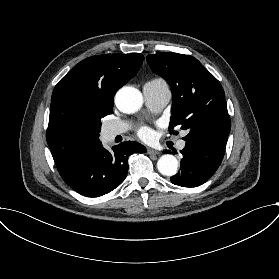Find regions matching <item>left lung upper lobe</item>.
Wrapping results in <instances>:
<instances>
[{
    "label": "left lung upper lobe",
    "instance_id": "1",
    "mask_svg": "<svg viewBox=\"0 0 279 279\" xmlns=\"http://www.w3.org/2000/svg\"><path fill=\"white\" fill-rule=\"evenodd\" d=\"M151 69L163 77L172 90L169 130L177 125L189 133L187 141L227 143L231 123L220 82L194 57L177 53L147 56Z\"/></svg>",
    "mask_w": 279,
    "mask_h": 279
}]
</instances>
